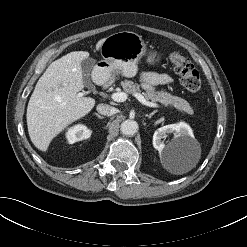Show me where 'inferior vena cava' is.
Instances as JSON below:
<instances>
[{
    "label": "inferior vena cava",
    "mask_w": 247,
    "mask_h": 247,
    "mask_svg": "<svg viewBox=\"0 0 247 247\" xmlns=\"http://www.w3.org/2000/svg\"><path fill=\"white\" fill-rule=\"evenodd\" d=\"M98 113L105 115V116H112L117 113V109L115 107H112L108 104H99L97 106Z\"/></svg>",
    "instance_id": "inferior-vena-cava-1"
}]
</instances>
